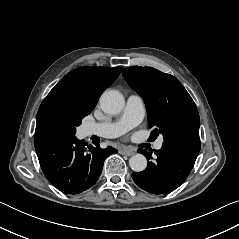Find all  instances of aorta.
Returning a JSON list of instances; mask_svg holds the SVG:
<instances>
[{
    "label": "aorta",
    "mask_w": 239,
    "mask_h": 239,
    "mask_svg": "<svg viewBox=\"0 0 239 239\" xmlns=\"http://www.w3.org/2000/svg\"><path fill=\"white\" fill-rule=\"evenodd\" d=\"M99 102L105 113L117 114L123 109L125 100L121 92L109 89L101 95ZM129 166L136 172H142L147 167V159L142 154H135L129 159Z\"/></svg>",
    "instance_id": "aorta-1"
}]
</instances>
